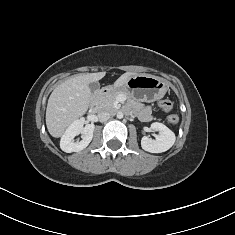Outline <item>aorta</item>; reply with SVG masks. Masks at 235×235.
Instances as JSON below:
<instances>
[{
	"label": "aorta",
	"mask_w": 235,
	"mask_h": 235,
	"mask_svg": "<svg viewBox=\"0 0 235 235\" xmlns=\"http://www.w3.org/2000/svg\"><path fill=\"white\" fill-rule=\"evenodd\" d=\"M117 118L118 119H122L123 118V113L122 112H118L117 113Z\"/></svg>",
	"instance_id": "aorta-1"
}]
</instances>
